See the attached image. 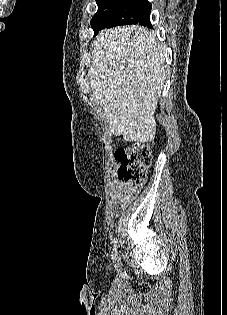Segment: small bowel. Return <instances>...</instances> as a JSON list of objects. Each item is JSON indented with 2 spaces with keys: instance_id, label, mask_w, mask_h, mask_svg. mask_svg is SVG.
I'll return each mask as SVG.
<instances>
[{
  "instance_id": "small-bowel-1",
  "label": "small bowel",
  "mask_w": 227,
  "mask_h": 315,
  "mask_svg": "<svg viewBox=\"0 0 227 315\" xmlns=\"http://www.w3.org/2000/svg\"><path fill=\"white\" fill-rule=\"evenodd\" d=\"M137 192V189L119 182H115L111 186V193L115 202L122 207L128 205L134 199Z\"/></svg>"
}]
</instances>
